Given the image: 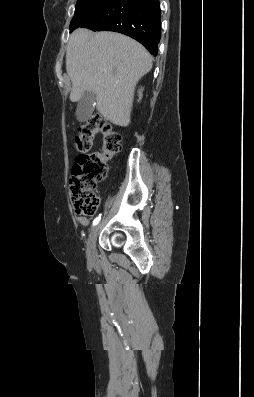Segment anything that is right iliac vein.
Listing matches in <instances>:
<instances>
[{
    "label": "right iliac vein",
    "instance_id": "obj_1",
    "mask_svg": "<svg viewBox=\"0 0 254 397\" xmlns=\"http://www.w3.org/2000/svg\"><path fill=\"white\" fill-rule=\"evenodd\" d=\"M100 229V225H96L95 227H93V229L91 230L89 237H88V242H87V256L89 259H94L96 256V248H95V243H96V239L98 236V232Z\"/></svg>",
    "mask_w": 254,
    "mask_h": 397
}]
</instances>
